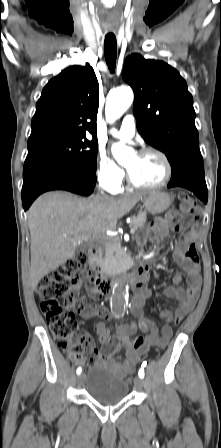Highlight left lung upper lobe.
Here are the masks:
<instances>
[{
    "instance_id": "obj_1",
    "label": "left lung upper lobe",
    "mask_w": 221,
    "mask_h": 448,
    "mask_svg": "<svg viewBox=\"0 0 221 448\" xmlns=\"http://www.w3.org/2000/svg\"><path fill=\"white\" fill-rule=\"evenodd\" d=\"M122 77L134 90L138 132L165 153L171 167L201 155L193 98L177 70L132 54L125 60Z\"/></svg>"
}]
</instances>
